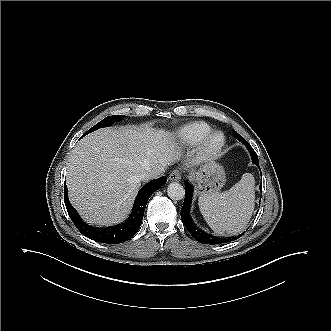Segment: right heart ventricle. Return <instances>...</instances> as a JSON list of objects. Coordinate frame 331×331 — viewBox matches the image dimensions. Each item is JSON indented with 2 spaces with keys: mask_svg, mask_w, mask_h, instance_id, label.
I'll return each mask as SVG.
<instances>
[{
  "mask_svg": "<svg viewBox=\"0 0 331 331\" xmlns=\"http://www.w3.org/2000/svg\"><path fill=\"white\" fill-rule=\"evenodd\" d=\"M211 131L212 128L205 122H189L177 130V138L183 144L193 146L199 144Z\"/></svg>",
  "mask_w": 331,
  "mask_h": 331,
  "instance_id": "1",
  "label": "right heart ventricle"
}]
</instances>
